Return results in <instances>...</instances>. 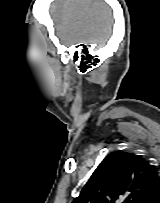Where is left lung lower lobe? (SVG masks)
<instances>
[{
	"label": "left lung lower lobe",
	"instance_id": "left-lung-lower-lobe-1",
	"mask_svg": "<svg viewBox=\"0 0 160 203\" xmlns=\"http://www.w3.org/2000/svg\"><path fill=\"white\" fill-rule=\"evenodd\" d=\"M151 203H160V188Z\"/></svg>",
	"mask_w": 160,
	"mask_h": 203
}]
</instances>
